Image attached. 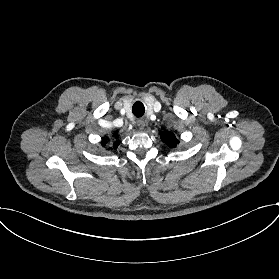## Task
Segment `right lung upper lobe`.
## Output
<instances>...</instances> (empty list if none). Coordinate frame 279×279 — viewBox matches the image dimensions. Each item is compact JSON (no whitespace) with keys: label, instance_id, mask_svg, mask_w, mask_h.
Returning a JSON list of instances; mask_svg holds the SVG:
<instances>
[{"label":"right lung upper lobe","instance_id":"cb5924a9","mask_svg":"<svg viewBox=\"0 0 279 279\" xmlns=\"http://www.w3.org/2000/svg\"><path fill=\"white\" fill-rule=\"evenodd\" d=\"M115 137H116V138L118 137L117 132H115ZM119 143H120V141H118V140L115 141L113 147L116 148V147L119 145ZM105 144H106V141L104 140V141L102 142V145L105 146Z\"/></svg>","mask_w":279,"mask_h":279}]
</instances>
